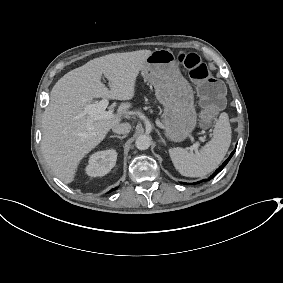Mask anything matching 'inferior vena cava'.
<instances>
[{
    "instance_id": "1",
    "label": "inferior vena cava",
    "mask_w": 283,
    "mask_h": 283,
    "mask_svg": "<svg viewBox=\"0 0 283 283\" xmlns=\"http://www.w3.org/2000/svg\"><path fill=\"white\" fill-rule=\"evenodd\" d=\"M131 125L129 123H122L112 128V131L118 134H127L130 132Z\"/></svg>"
}]
</instances>
